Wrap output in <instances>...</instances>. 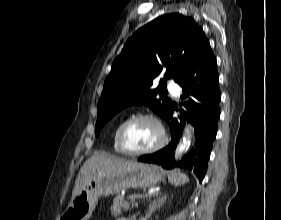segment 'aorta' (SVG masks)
I'll use <instances>...</instances> for the list:
<instances>
[{"instance_id": "obj_1", "label": "aorta", "mask_w": 281, "mask_h": 220, "mask_svg": "<svg viewBox=\"0 0 281 220\" xmlns=\"http://www.w3.org/2000/svg\"><path fill=\"white\" fill-rule=\"evenodd\" d=\"M190 145V140L188 139H184L183 143L180 144L177 149H176V156L179 155L180 153H182L184 150H186Z\"/></svg>"}]
</instances>
